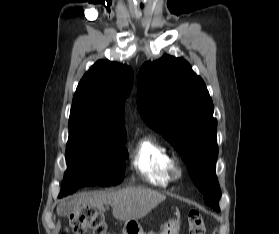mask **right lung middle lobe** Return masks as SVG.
Masks as SVG:
<instances>
[{"instance_id":"1","label":"right lung middle lobe","mask_w":279,"mask_h":234,"mask_svg":"<svg viewBox=\"0 0 279 234\" xmlns=\"http://www.w3.org/2000/svg\"><path fill=\"white\" fill-rule=\"evenodd\" d=\"M63 185L59 197L80 187L117 185L123 180L126 136H99L82 122H69Z\"/></svg>"}]
</instances>
